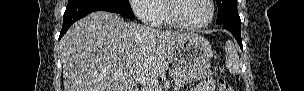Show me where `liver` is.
Here are the masks:
<instances>
[{
  "instance_id": "liver-1",
  "label": "liver",
  "mask_w": 304,
  "mask_h": 91,
  "mask_svg": "<svg viewBox=\"0 0 304 91\" xmlns=\"http://www.w3.org/2000/svg\"><path fill=\"white\" fill-rule=\"evenodd\" d=\"M197 36L93 12L75 22L61 39L64 91H133L143 78L165 72L175 49Z\"/></svg>"
}]
</instances>
